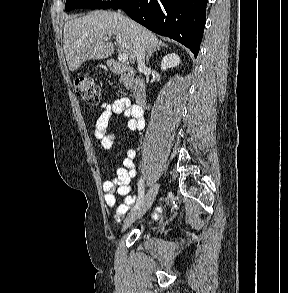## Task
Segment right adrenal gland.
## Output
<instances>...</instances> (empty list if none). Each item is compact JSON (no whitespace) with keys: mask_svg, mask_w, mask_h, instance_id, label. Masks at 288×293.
<instances>
[{"mask_svg":"<svg viewBox=\"0 0 288 293\" xmlns=\"http://www.w3.org/2000/svg\"><path fill=\"white\" fill-rule=\"evenodd\" d=\"M159 45H160V47H168L167 45H165V44L162 43V42H160ZM160 47H158L157 50H159ZM152 55H153V53H149V54L147 55V57H146V64L149 63V60H150V58H151Z\"/></svg>","mask_w":288,"mask_h":293,"instance_id":"obj_1","label":"right adrenal gland"}]
</instances>
